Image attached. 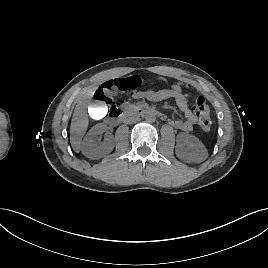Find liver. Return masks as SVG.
I'll return each mask as SVG.
<instances>
[{
    "label": "liver",
    "mask_w": 268,
    "mask_h": 268,
    "mask_svg": "<svg viewBox=\"0 0 268 268\" xmlns=\"http://www.w3.org/2000/svg\"><path fill=\"white\" fill-rule=\"evenodd\" d=\"M96 86H89L84 89L77 99L73 117L70 125V143L74 151H80V144L88 128L89 119L87 108L91 104V98L96 90Z\"/></svg>",
    "instance_id": "1"
}]
</instances>
